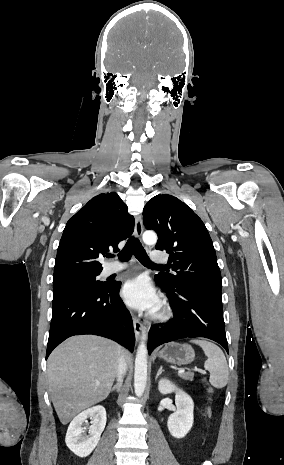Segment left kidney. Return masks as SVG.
<instances>
[{"mask_svg": "<svg viewBox=\"0 0 284 465\" xmlns=\"http://www.w3.org/2000/svg\"><path fill=\"white\" fill-rule=\"evenodd\" d=\"M158 389L162 395L175 393L176 411L168 417L167 427L172 437L183 439L193 425L194 403L187 393H184L181 389H177L171 381H166V379L159 381Z\"/></svg>", "mask_w": 284, "mask_h": 465, "instance_id": "1", "label": "left kidney"}]
</instances>
